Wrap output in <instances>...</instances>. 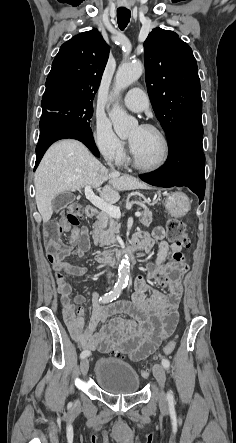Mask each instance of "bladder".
Listing matches in <instances>:
<instances>
[{"instance_id":"obj_1","label":"bladder","mask_w":236,"mask_h":443,"mask_svg":"<svg viewBox=\"0 0 236 443\" xmlns=\"http://www.w3.org/2000/svg\"><path fill=\"white\" fill-rule=\"evenodd\" d=\"M94 375L97 385L114 395L134 394L141 384L139 375L131 365L113 357L99 360Z\"/></svg>"}]
</instances>
